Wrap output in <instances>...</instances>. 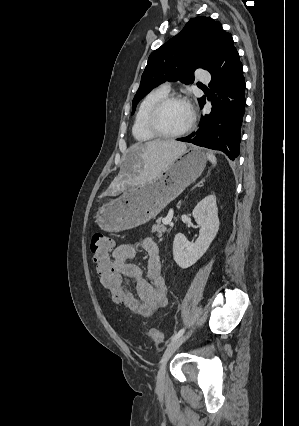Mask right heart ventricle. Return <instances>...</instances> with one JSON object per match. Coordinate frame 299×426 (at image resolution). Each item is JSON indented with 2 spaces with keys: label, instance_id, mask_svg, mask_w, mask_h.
<instances>
[{
  "label": "right heart ventricle",
  "instance_id": "obj_1",
  "mask_svg": "<svg viewBox=\"0 0 299 426\" xmlns=\"http://www.w3.org/2000/svg\"><path fill=\"white\" fill-rule=\"evenodd\" d=\"M167 95V89L164 87H158L150 91L142 99L138 106L132 127V133L136 140L140 142H148L157 138V136L153 134L148 127V116L153 106Z\"/></svg>",
  "mask_w": 299,
  "mask_h": 426
}]
</instances>
